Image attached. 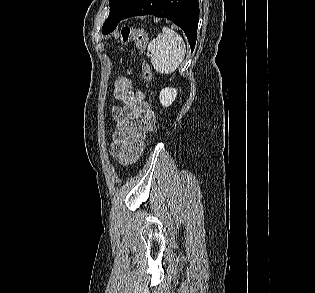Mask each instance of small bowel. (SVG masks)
Masks as SVG:
<instances>
[{"label":"small bowel","instance_id":"obj_1","mask_svg":"<svg viewBox=\"0 0 315 293\" xmlns=\"http://www.w3.org/2000/svg\"><path fill=\"white\" fill-rule=\"evenodd\" d=\"M123 103L111 109L115 122L110 153L126 163L156 125L155 114L141 92L114 94Z\"/></svg>","mask_w":315,"mask_h":293}]
</instances>
